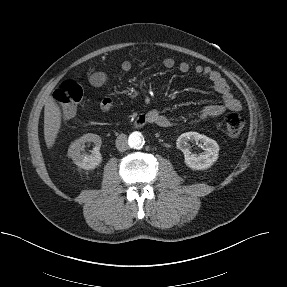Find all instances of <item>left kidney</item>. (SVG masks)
<instances>
[{"label": "left kidney", "instance_id": "obj_1", "mask_svg": "<svg viewBox=\"0 0 287 287\" xmlns=\"http://www.w3.org/2000/svg\"><path fill=\"white\" fill-rule=\"evenodd\" d=\"M188 141L200 143L204 152L192 154ZM177 148L184 153L185 163L193 170H204L213 165L218 159L219 146L217 142L197 132H186L181 134L176 142Z\"/></svg>", "mask_w": 287, "mask_h": 287}]
</instances>
